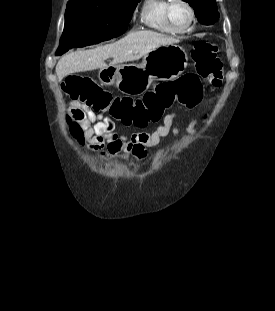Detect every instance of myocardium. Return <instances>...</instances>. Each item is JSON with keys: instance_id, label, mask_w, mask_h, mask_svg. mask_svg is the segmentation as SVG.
<instances>
[{"instance_id": "f54148a6", "label": "myocardium", "mask_w": 275, "mask_h": 311, "mask_svg": "<svg viewBox=\"0 0 275 311\" xmlns=\"http://www.w3.org/2000/svg\"><path fill=\"white\" fill-rule=\"evenodd\" d=\"M178 2L184 4L190 13V19H189L188 24L182 28L176 27L173 24L171 17H170V10H171L172 6ZM165 19H166L168 25L172 29H174L176 32H178V33L186 32L192 27V25L195 21V10H194L193 6L187 0H169V3L167 4V6L165 8Z\"/></svg>"}]
</instances>
